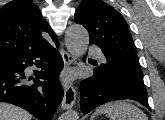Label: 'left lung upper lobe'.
<instances>
[{"label": "left lung upper lobe", "instance_id": "5c2ea615", "mask_svg": "<svg viewBox=\"0 0 165 120\" xmlns=\"http://www.w3.org/2000/svg\"><path fill=\"white\" fill-rule=\"evenodd\" d=\"M75 22L89 32V44H96L124 76L143 82L132 36L118 11L101 0H83L75 12Z\"/></svg>", "mask_w": 165, "mask_h": 120}]
</instances>
